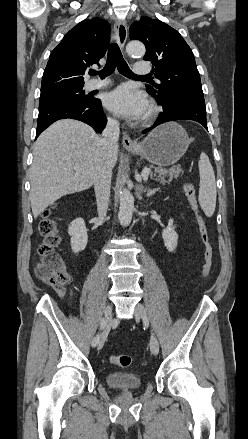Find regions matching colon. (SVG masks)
Returning <instances> with one entry per match:
<instances>
[{
    "instance_id": "5ec220e1",
    "label": "colon",
    "mask_w": 248,
    "mask_h": 439,
    "mask_svg": "<svg viewBox=\"0 0 248 439\" xmlns=\"http://www.w3.org/2000/svg\"><path fill=\"white\" fill-rule=\"evenodd\" d=\"M184 191L192 210L197 215L199 233L204 247V264L201 279L205 280L210 272L213 260V249L209 241L206 223L199 214L198 201L194 185L187 182ZM50 209L43 212V218L39 224V231L44 237V241L38 249L40 257L38 269L41 277L52 286H63L69 281L66 267L61 255L56 251L60 242L55 221L50 217ZM111 362L121 367H129L132 357L129 355L112 356Z\"/></svg>"
}]
</instances>
